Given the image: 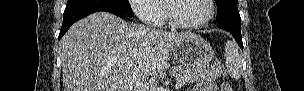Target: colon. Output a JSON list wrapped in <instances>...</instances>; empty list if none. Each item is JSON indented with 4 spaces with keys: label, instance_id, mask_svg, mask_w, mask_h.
<instances>
[{
    "label": "colon",
    "instance_id": "colon-1",
    "mask_svg": "<svg viewBox=\"0 0 304 91\" xmlns=\"http://www.w3.org/2000/svg\"><path fill=\"white\" fill-rule=\"evenodd\" d=\"M221 91H233V88L228 82H222L221 84Z\"/></svg>",
    "mask_w": 304,
    "mask_h": 91
}]
</instances>
